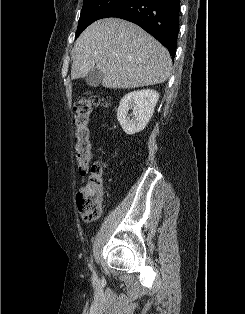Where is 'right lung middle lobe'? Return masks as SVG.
Wrapping results in <instances>:
<instances>
[{"label":"right lung middle lobe","mask_w":245,"mask_h":314,"mask_svg":"<svg viewBox=\"0 0 245 314\" xmlns=\"http://www.w3.org/2000/svg\"><path fill=\"white\" fill-rule=\"evenodd\" d=\"M127 0H84L78 22L76 38L91 23L103 18Z\"/></svg>","instance_id":"obj_1"}]
</instances>
